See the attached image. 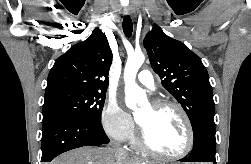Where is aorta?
Returning a JSON list of instances; mask_svg holds the SVG:
<instances>
[{
  "label": "aorta",
  "mask_w": 251,
  "mask_h": 164,
  "mask_svg": "<svg viewBox=\"0 0 251 164\" xmlns=\"http://www.w3.org/2000/svg\"><path fill=\"white\" fill-rule=\"evenodd\" d=\"M143 53L128 56L124 69L125 102L128 108L135 110L138 105L147 101L146 93L136 83V75L144 63Z\"/></svg>",
  "instance_id": "1"
}]
</instances>
